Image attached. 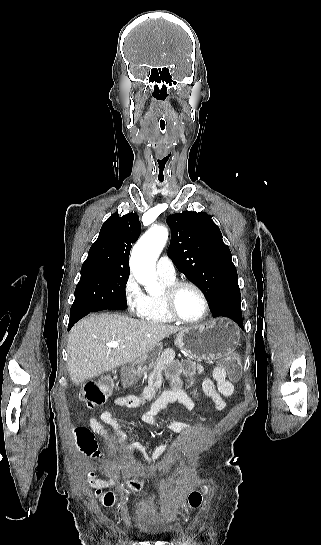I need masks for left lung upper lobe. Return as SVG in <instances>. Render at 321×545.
I'll return each mask as SVG.
<instances>
[{"label":"left lung upper lobe","instance_id":"5c2ea615","mask_svg":"<svg viewBox=\"0 0 321 545\" xmlns=\"http://www.w3.org/2000/svg\"><path fill=\"white\" fill-rule=\"evenodd\" d=\"M172 239L169 257L177 269L199 287L210 307L240 294L231 252L219 227L205 212L183 211L169 215Z\"/></svg>","mask_w":321,"mask_h":545}]
</instances>
